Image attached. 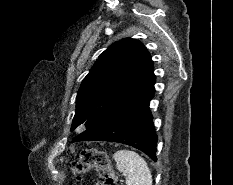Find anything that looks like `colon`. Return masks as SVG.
Listing matches in <instances>:
<instances>
[{
	"instance_id": "1",
	"label": "colon",
	"mask_w": 233,
	"mask_h": 185,
	"mask_svg": "<svg viewBox=\"0 0 233 185\" xmlns=\"http://www.w3.org/2000/svg\"><path fill=\"white\" fill-rule=\"evenodd\" d=\"M72 173L81 177L89 170L97 173L101 185H116L113 169L107 154L98 148L82 150L79 159L72 163Z\"/></svg>"
}]
</instances>
